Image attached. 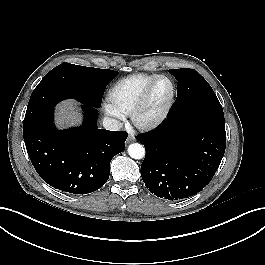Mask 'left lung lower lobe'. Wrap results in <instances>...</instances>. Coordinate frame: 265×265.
I'll return each mask as SVG.
<instances>
[{"label":"left lung lower lobe","instance_id":"0a47b994","mask_svg":"<svg viewBox=\"0 0 265 265\" xmlns=\"http://www.w3.org/2000/svg\"><path fill=\"white\" fill-rule=\"evenodd\" d=\"M225 123L199 116L167 117L154 132L137 136L146 149L141 176L160 198H188L218 169L226 147Z\"/></svg>","mask_w":265,"mask_h":265}]
</instances>
